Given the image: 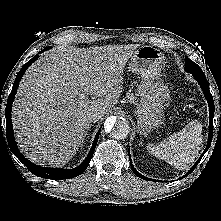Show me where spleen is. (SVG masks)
Returning <instances> with one entry per match:
<instances>
[{
  "instance_id": "1",
  "label": "spleen",
  "mask_w": 221,
  "mask_h": 221,
  "mask_svg": "<svg viewBox=\"0 0 221 221\" xmlns=\"http://www.w3.org/2000/svg\"><path fill=\"white\" fill-rule=\"evenodd\" d=\"M201 133L202 125L192 121L181 131L170 135L165 142L148 144L147 150L177 169H188L199 155L202 144Z\"/></svg>"
}]
</instances>
